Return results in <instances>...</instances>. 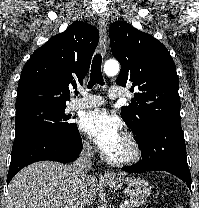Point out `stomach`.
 I'll return each instance as SVG.
<instances>
[{"label": "stomach", "instance_id": "0dacf381", "mask_svg": "<svg viewBox=\"0 0 199 208\" xmlns=\"http://www.w3.org/2000/svg\"><path fill=\"white\" fill-rule=\"evenodd\" d=\"M106 183L114 189L121 190L125 195L135 201L146 199L152 189L148 181L134 176L119 178L113 181L107 180Z\"/></svg>", "mask_w": 199, "mask_h": 208}]
</instances>
